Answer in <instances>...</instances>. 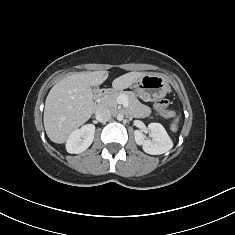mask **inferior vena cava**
<instances>
[{
    "instance_id": "602c4592",
    "label": "inferior vena cava",
    "mask_w": 235,
    "mask_h": 235,
    "mask_svg": "<svg viewBox=\"0 0 235 235\" xmlns=\"http://www.w3.org/2000/svg\"><path fill=\"white\" fill-rule=\"evenodd\" d=\"M95 116L100 122H106L111 118V111L106 107H100L97 109Z\"/></svg>"
}]
</instances>
